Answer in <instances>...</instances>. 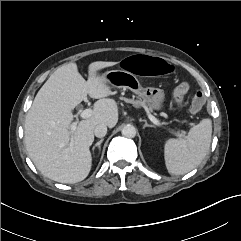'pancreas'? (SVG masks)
<instances>
[{
    "instance_id": "pancreas-1",
    "label": "pancreas",
    "mask_w": 241,
    "mask_h": 241,
    "mask_svg": "<svg viewBox=\"0 0 241 241\" xmlns=\"http://www.w3.org/2000/svg\"><path fill=\"white\" fill-rule=\"evenodd\" d=\"M126 102H130L132 104H136V105H140L143 107H146V104L142 101H134V100H130V99H124Z\"/></svg>"
}]
</instances>
